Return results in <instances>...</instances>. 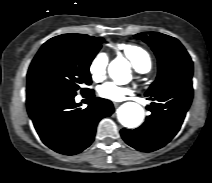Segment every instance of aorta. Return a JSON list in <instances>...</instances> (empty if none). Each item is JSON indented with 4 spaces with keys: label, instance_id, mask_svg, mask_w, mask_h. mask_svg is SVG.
Returning a JSON list of instances; mask_svg holds the SVG:
<instances>
[{
    "label": "aorta",
    "instance_id": "762f6f07",
    "mask_svg": "<svg viewBox=\"0 0 212 183\" xmlns=\"http://www.w3.org/2000/svg\"><path fill=\"white\" fill-rule=\"evenodd\" d=\"M129 69L128 61L124 58H116L109 65V74L116 78L118 71H127ZM144 119L143 108L134 102L124 103L118 110L119 122L127 127L134 128L139 126Z\"/></svg>",
    "mask_w": 212,
    "mask_h": 183
}]
</instances>
